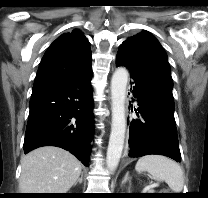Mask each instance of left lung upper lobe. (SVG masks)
Instances as JSON below:
<instances>
[{"mask_svg":"<svg viewBox=\"0 0 208 198\" xmlns=\"http://www.w3.org/2000/svg\"><path fill=\"white\" fill-rule=\"evenodd\" d=\"M122 45L135 53L156 84L173 98V82L167 55L157 39L143 31L129 37Z\"/></svg>","mask_w":208,"mask_h":198,"instance_id":"obj_1","label":"left lung upper lobe"}]
</instances>
